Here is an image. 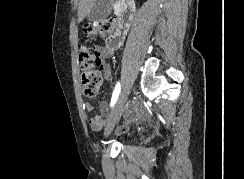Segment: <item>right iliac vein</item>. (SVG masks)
Returning <instances> with one entry per match:
<instances>
[{"instance_id":"right-iliac-vein-1","label":"right iliac vein","mask_w":244,"mask_h":179,"mask_svg":"<svg viewBox=\"0 0 244 179\" xmlns=\"http://www.w3.org/2000/svg\"><path fill=\"white\" fill-rule=\"evenodd\" d=\"M125 101H126V91H123L119 98L117 99L110 115H109V118L106 122V128H105V136H108L114 126H115V123L118 122L120 116H121V112H122V109L125 105Z\"/></svg>"}]
</instances>
